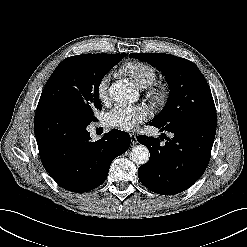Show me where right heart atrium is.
<instances>
[{"instance_id": "1", "label": "right heart atrium", "mask_w": 247, "mask_h": 247, "mask_svg": "<svg viewBox=\"0 0 247 247\" xmlns=\"http://www.w3.org/2000/svg\"><path fill=\"white\" fill-rule=\"evenodd\" d=\"M109 82H110L109 75L103 76L98 82L97 91L99 98L101 99L102 102H106L108 100Z\"/></svg>"}]
</instances>
